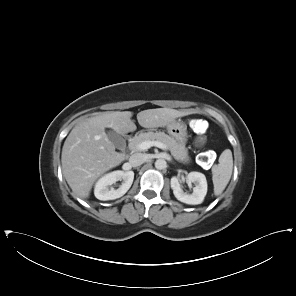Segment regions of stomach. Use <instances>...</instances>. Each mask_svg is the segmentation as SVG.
Listing matches in <instances>:
<instances>
[{"label":"stomach","mask_w":296,"mask_h":296,"mask_svg":"<svg viewBox=\"0 0 296 296\" xmlns=\"http://www.w3.org/2000/svg\"><path fill=\"white\" fill-rule=\"evenodd\" d=\"M168 133L174 138L177 142L185 144L188 139L187 127L186 125L179 121H174L167 125Z\"/></svg>","instance_id":"stomach-1"}]
</instances>
